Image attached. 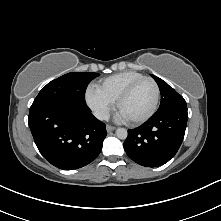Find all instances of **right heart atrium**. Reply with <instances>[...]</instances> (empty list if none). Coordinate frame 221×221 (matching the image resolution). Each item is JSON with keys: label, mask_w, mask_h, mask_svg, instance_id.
Returning <instances> with one entry per match:
<instances>
[{"label": "right heart atrium", "mask_w": 221, "mask_h": 221, "mask_svg": "<svg viewBox=\"0 0 221 221\" xmlns=\"http://www.w3.org/2000/svg\"><path fill=\"white\" fill-rule=\"evenodd\" d=\"M87 105L101 120L106 119L113 109V102L101 94L97 88L89 87L85 92Z\"/></svg>", "instance_id": "d8ad5b80"}]
</instances>
